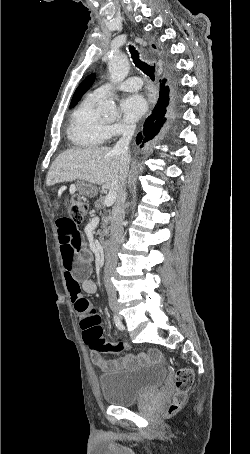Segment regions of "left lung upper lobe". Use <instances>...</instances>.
<instances>
[{
	"label": "left lung upper lobe",
	"instance_id": "5c2ea615",
	"mask_svg": "<svg viewBox=\"0 0 250 454\" xmlns=\"http://www.w3.org/2000/svg\"><path fill=\"white\" fill-rule=\"evenodd\" d=\"M95 75L91 74L89 75L76 89L73 98L71 100L70 107H74L77 102L80 100V98L83 96V94L91 87V85L94 82Z\"/></svg>",
	"mask_w": 250,
	"mask_h": 454
}]
</instances>
